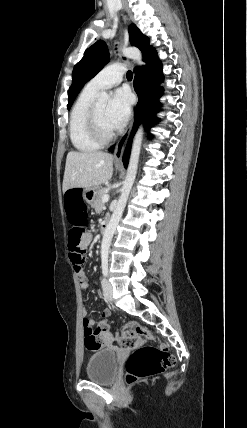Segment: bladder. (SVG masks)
Wrapping results in <instances>:
<instances>
[{
	"label": "bladder",
	"instance_id": "1",
	"mask_svg": "<svg viewBox=\"0 0 247 428\" xmlns=\"http://www.w3.org/2000/svg\"><path fill=\"white\" fill-rule=\"evenodd\" d=\"M118 373V356L116 351L103 348L95 351L86 366V377L98 384H111Z\"/></svg>",
	"mask_w": 247,
	"mask_h": 428
}]
</instances>
